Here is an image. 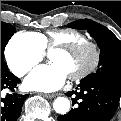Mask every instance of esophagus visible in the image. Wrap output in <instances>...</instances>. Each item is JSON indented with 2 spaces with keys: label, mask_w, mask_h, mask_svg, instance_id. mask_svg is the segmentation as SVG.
I'll list each match as a JSON object with an SVG mask.
<instances>
[{
  "label": "esophagus",
  "mask_w": 121,
  "mask_h": 121,
  "mask_svg": "<svg viewBox=\"0 0 121 121\" xmlns=\"http://www.w3.org/2000/svg\"><path fill=\"white\" fill-rule=\"evenodd\" d=\"M43 96L48 99H52V98H55L57 96V94H44Z\"/></svg>",
  "instance_id": "esophagus-1"
}]
</instances>
